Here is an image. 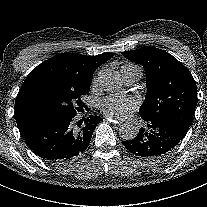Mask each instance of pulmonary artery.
<instances>
[{
    "label": "pulmonary artery",
    "mask_w": 207,
    "mask_h": 207,
    "mask_svg": "<svg viewBox=\"0 0 207 207\" xmlns=\"http://www.w3.org/2000/svg\"><path fill=\"white\" fill-rule=\"evenodd\" d=\"M121 73L128 84L137 82L141 77V69L135 66L123 67Z\"/></svg>",
    "instance_id": "pulmonary-artery-1"
}]
</instances>
